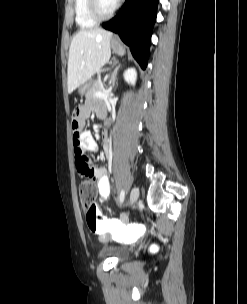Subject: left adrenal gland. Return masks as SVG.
Returning <instances> with one entry per match:
<instances>
[{
    "label": "left adrenal gland",
    "mask_w": 247,
    "mask_h": 304,
    "mask_svg": "<svg viewBox=\"0 0 247 304\" xmlns=\"http://www.w3.org/2000/svg\"><path fill=\"white\" fill-rule=\"evenodd\" d=\"M118 69H119V66L116 67V69L113 71L112 75H111V78H110V90L112 89V87L115 86V81H116V77H117V72H118Z\"/></svg>",
    "instance_id": "a2214340"
}]
</instances>
